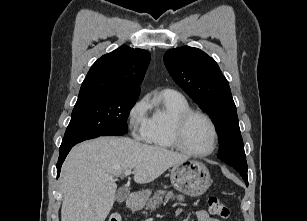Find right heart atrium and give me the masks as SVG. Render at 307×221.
Wrapping results in <instances>:
<instances>
[{
	"mask_svg": "<svg viewBox=\"0 0 307 221\" xmlns=\"http://www.w3.org/2000/svg\"><path fill=\"white\" fill-rule=\"evenodd\" d=\"M147 112L148 101L145 98L135 102L128 112V125L137 140L146 141L149 122Z\"/></svg>",
	"mask_w": 307,
	"mask_h": 221,
	"instance_id": "right-heart-atrium-1",
	"label": "right heart atrium"
}]
</instances>
